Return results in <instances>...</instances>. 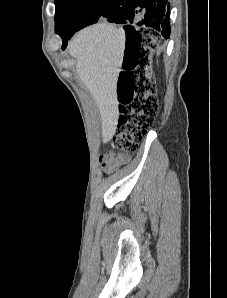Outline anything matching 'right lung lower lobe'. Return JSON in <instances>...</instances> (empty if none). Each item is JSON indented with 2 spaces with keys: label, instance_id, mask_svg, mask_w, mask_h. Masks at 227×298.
I'll return each mask as SVG.
<instances>
[{
  "label": "right lung lower lobe",
  "instance_id": "98d812e1",
  "mask_svg": "<svg viewBox=\"0 0 227 298\" xmlns=\"http://www.w3.org/2000/svg\"><path fill=\"white\" fill-rule=\"evenodd\" d=\"M98 20H108L112 23L126 24L124 26L129 37L136 32L129 24L150 27L158 30L165 38L170 36V5L167 0H104L71 32L60 34L65 49L73 34Z\"/></svg>",
  "mask_w": 227,
  "mask_h": 298
}]
</instances>
